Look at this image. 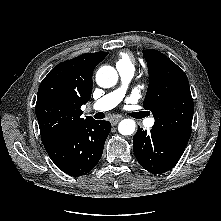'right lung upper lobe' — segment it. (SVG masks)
<instances>
[{
  "label": "right lung upper lobe",
  "instance_id": "1",
  "mask_svg": "<svg viewBox=\"0 0 221 221\" xmlns=\"http://www.w3.org/2000/svg\"><path fill=\"white\" fill-rule=\"evenodd\" d=\"M108 52L85 53L54 67L39 86L35 107L44 147L75 131L92 117L81 106L92 93V73Z\"/></svg>",
  "mask_w": 221,
  "mask_h": 221
}]
</instances>
